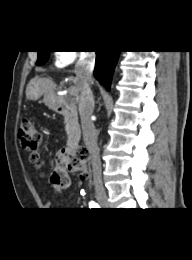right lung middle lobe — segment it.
<instances>
[{"instance_id":"right-lung-middle-lobe-1","label":"right lung middle lobe","mask_w":192,"mask_h":260,"mask_svg":"<svg viewBox=\"0 0 192 260\" xmlns=\"http://www.w3.org/2000/svg\"><path fill=\"white\" fill-rule=\"evenodd\" d=\"M49 58V51H38V60L36 65H43Z\"/></svg>"}]
</instances>
